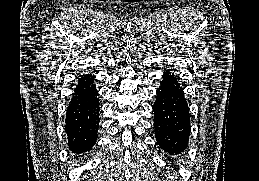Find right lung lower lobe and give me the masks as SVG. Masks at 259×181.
I'll use <instances>...</instances> for the list:
<instances>
[{"instance_id":"obj_1","label":"right lung lower lobe","mask_w":259,"mask_h":181,"mask_svg":"<svg viewBox=\"0 0 259 181\" xmlns=\"http://www.w3.org/2000/svg\"><path fill=\"white\" fill-rule=\"evenodd\" d=\"M94 78L83 74L76 84L66 112L68 146L76 154L92 149L99 128V101Z\"/></svg>"}]
</instances>
